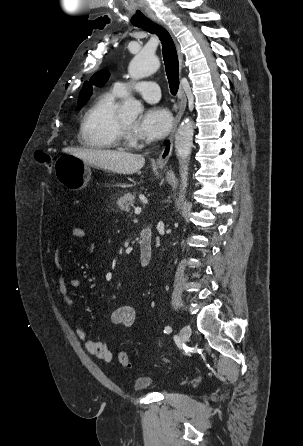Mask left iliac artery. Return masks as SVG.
Here are the masks:
<instances>
[{
  "label": "left iliac artery",
  "instance_id": "obj_1",
  "mask_svg": "<svg viewBox=\"0 0 303 446\" xmlns=\"http://www.w3.org/2000/svg\"><path fill=\"white\" fill-rule=\"evenodd\" d=\"M171 332H172V328L170 326H166L165 329H164V333L165 334H169Z\"/></svg>",
  "mask_w": 303,
  "mask_h": 446
}]
</instances>
